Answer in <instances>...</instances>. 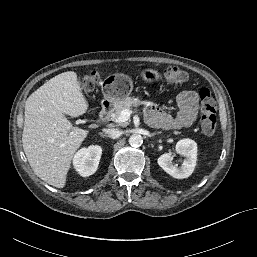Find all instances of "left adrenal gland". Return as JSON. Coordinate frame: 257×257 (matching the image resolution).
I'll list each match as a JSON object with an SVG mask.
<instances>
[{"mask_svg":"<svg viewBox=\"0 0 257 257\" xmlns=\"http://www.w3.org/2000/svg\"><path fill=\"white\" fill-rule=\"evenodd\" d=\"M161 133H162V132H157V133H155V135H156V134H161Z\"/></svg>","mask_w":257,"mask_h":257,"instance_id":"1","label":"left adrenal gland"}]
</instances>
